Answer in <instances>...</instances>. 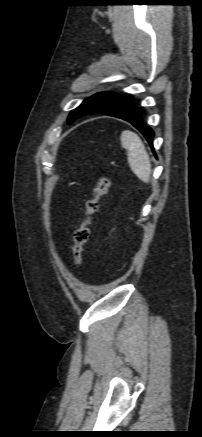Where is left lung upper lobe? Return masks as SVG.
<instances>
[{
    "instance_id": "5c2ea615",
    "label": "left lung upper lobe",
    "mask_w": 202,
    "mask_h": 437,
    "mask_svg": "<svg viewBox=\"0 0 202 437\" xmlns=\"http://www.w3.org/2000/svg\"><path fill=\"white\" fill-rule=\"evenodd\" d=\"M129 103L128 100L119 95L107 92L97 93L85 99L76 109H74L68 116V124L75 119L87 115L97 113H108L116 108H119Z\"/></svg>"
}]
</instances>
